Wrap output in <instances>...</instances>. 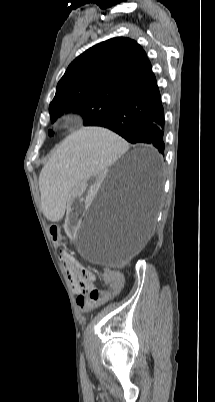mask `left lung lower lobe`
Wrapping results in <instances>:
<instances>
[{
	"label": "left lung lower lobe",
	"mask_w": 215,
	"mask_h": 402,
	"mask_svg": "<svg viewBox=\"0 0 215 402\" xmlns=\"http://www.w3.org/2000/svg\"><path fill=\"white\" fill-rule=\"evenodd\" d=\"M96 126L108 128L132 144H151L164 155V110L153 72L109 117ZM155 196L156 187L146 194L151 209Z\"/></svg>",
	"instance_id": "obj_1"
}]
</instances>
